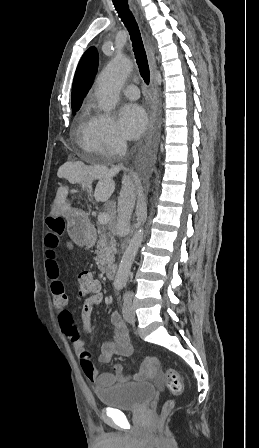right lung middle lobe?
Here are the masks:
<instances>
[{
	"instance_id": "1",
	"label": "right lung middle lobe",
	"mask_w": 259,
	"mask_h": 448,
	"mask_svg": "<svg viewBox=\"0 0 259 448\" xmlns=\"http://www.w3.org/2000/svg\"><path fill=\"white\" fill-rule=\"evenodd\" d=\"M79 108H76V109H72L73 110V112H76L77 110H78Z\"/></svg>"
}]
</instances>
